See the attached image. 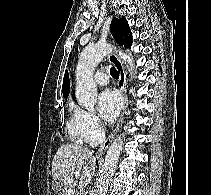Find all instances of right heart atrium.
Returning a JSON list of instances; mask_svg holds the SVG:
<instances>
[{
    "label": "right heart atrium",
    "instance_id": "right-heart-atrium-1",
    "mask_svg": "<svg viewBox=\"0 0 211 195\" xmlns=\"http://www.w3.org/2000/svg\"><path fill=\"white\" fill-rule=\"evenodd\" d=\"M80 126L87 141L97 142L102 136V124L98 116L87 110L78 109Z\"/></svg>",
    "mask_w": 211,
    "mask_h": 195
}]
</instances>
